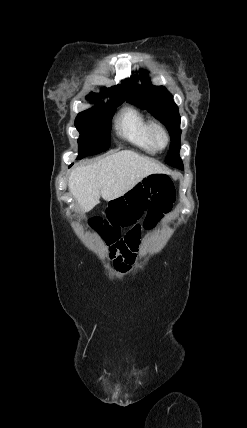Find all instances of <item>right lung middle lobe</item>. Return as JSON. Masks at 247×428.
Returning a JSON list of instances; mask_svg holds the SVG:
<instances>
[{
  "label": "right lung middle lobe",
  "instance_id": "right-lung-middle-lobe-1",
  "mask_svg": "<svg viewBox=\"0 0 247 428\" xmlns=\"http://www.w3.org/2000/svg\"><path fill=\"white\" fill-rule=\"evenodd\" d=\"M119 105L100 103L77 115L75 126L80 132L78 159L108 150L110 147L111 118Z\"/></svg>",
  "mask_w": 247,
  "mask_h": 428
}]
</instances>
